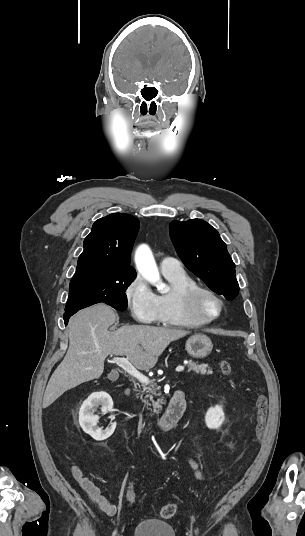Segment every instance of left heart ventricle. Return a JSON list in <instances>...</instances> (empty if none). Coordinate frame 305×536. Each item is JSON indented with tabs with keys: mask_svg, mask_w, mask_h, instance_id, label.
<instances>
[{
	"mask_svg": "<svg viewBox=\"0 0 305 536\" xmlns=\"http://www.w3.org/2000/svg\"><path fill=\"white\" fill-rule=\"evenodd\" d=\"M199 307L202 317L208 319L219 313L221 304L217 298L210 295H204L199 302Z\"/></svg>",
	"mask_w": 305,
	"mask_h": 536,
	"instance_id": "b2bd125f",
	"label": "left heart ventricle"
}]
</instances>
